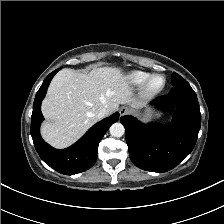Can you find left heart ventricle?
<instances>
[{"label":"left heart ventricle","mask_w":224,"mask_h":224,"mask_svg":"<svg viewBox=\"0 0 224 224\" xmlns=\"http://www.w3.org/2000/svg\"><path fill=\"white\" fill-rule=\"evenodd\" d=\"M164 84V78L162 76H156L152 79L150 86L152 89H159Z\"/></svg>","instance_id":"obj_1"}]
</instances>
